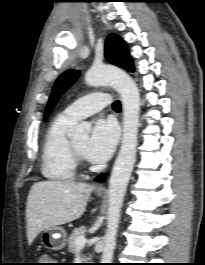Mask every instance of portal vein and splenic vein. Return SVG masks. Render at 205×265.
I'll use <instances>...</instances> for the list:
<instances>
[{
	"label": "portal vein and splenic vein",
	"instance_id": "18ae733b",
	"mask_svg": "<svg viewBox=\"0 0 205 265\" xmlns=\"http://www.w3.org/2000/svg\"><path fill=\"white\" fill-rule=\"evenodd\" d=\"M86 238L84 236H79L76 238V247H83L86 244Z\"/></svg>",
	"mask_w": 205,
	"mask_h": 265
}]
</instances>
